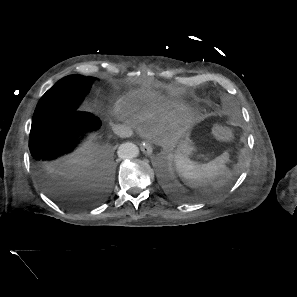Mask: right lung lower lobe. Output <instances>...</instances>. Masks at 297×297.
Listing matches in <instances>:
<instances>
[{
	"label": "right lung lower lobe",
	"instance_id": "obj_1",
	"mask_svg": "<svg viewBox=\"0 0 297 297\" xmlns=\"http://www.w3.org/2000/svg\"><path fill=\"white\" fill-rule=\"evenodd\" d=\"M101 124L97 116L80 110L79 103L59 107L45 119L32 122L29 149L33 168L48 189L59 187L58 173L69 165V156L82 135L96 132ZM96 163L107 173L111 172L107 147L97 150Z\"/></svg>",
	"mask_w": 297,
	"mask_h": 297
}]
</instances>
